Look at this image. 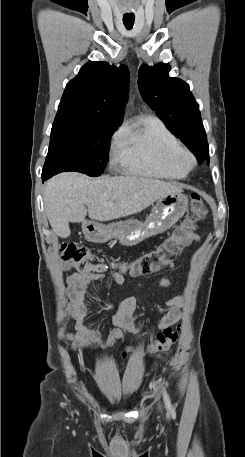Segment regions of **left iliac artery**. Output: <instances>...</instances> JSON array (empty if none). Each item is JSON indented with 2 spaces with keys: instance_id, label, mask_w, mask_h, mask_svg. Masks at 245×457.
<instances>
[{
  "instance_id": "left-iliac-artery-1",
  "label": "left iliac artery",
  "mask_w": 245,
  "mask_h": 457,
  "mask_svg": "<svg viewBox=\"0 0 245 457\" xmlns=\"http://www.w3.org/2000/svg\"><path fill=\"white\" fill-rule=\"evenodd\" d=\"M163 396H164V401H165V405H166L167 409L169 411H172V404H171L169 395L167 394L166 390H163Z\"/></svg>"
}]
</instances>
